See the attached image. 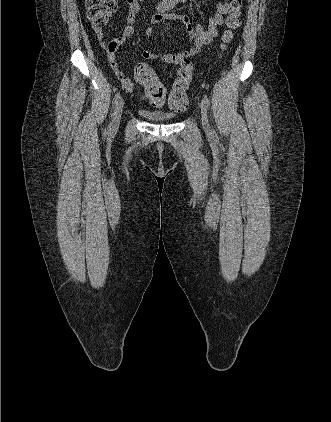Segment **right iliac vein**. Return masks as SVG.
<instances>
[{"mask_svg":"<svg viewBox=\"0 0 331 422\" xmlns=\"http://www.w3.org/2000/svg\"><path fill=\"white\" fill-rule=\"evenodd\" d=\"M123 106H124V102L122 99H120L117 102L116 107H115V112H114L112 123H111L112 130H116L119 127Z\"/></svg>","mask_w":331,"mask_h":422,"instance_id":"1","label":"right iliac vein"}]
</instances>
